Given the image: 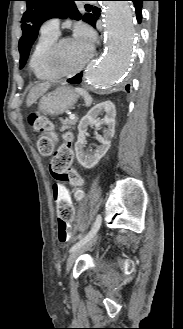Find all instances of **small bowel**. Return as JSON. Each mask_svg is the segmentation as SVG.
<instances>
[{"mask_svg": "<svg viewBox=\"0 0 183 329\" xmlns=\"http://www.w3.org/2000/svg\"><path fill=\"white\" fill-rule=\"evenodd\" d=\"M49 188L52 199H56L54 217L74 218L76 207L74 206V201H71L73 199L72 187H65L61 182H50Z\"/></svg>", "mask_w": 183, "mask_h": 329, "instance_id": "c3829d8e", "label": "small bowel"}]
</instances>
